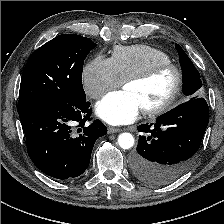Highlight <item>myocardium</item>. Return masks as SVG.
Wrapping results in <instances>:
<instances>
[{"instance_id": "1", "label": "myocardium", "mask_w": 224, "mask_h": 224, "mask_svg": "<svg viewBox=\"0 0 224 224\" xmlns=\"http://www.w3.org/2000/svg\"><path fill=\"white\" fill-rule=\"evenodd\" d=\"M168 70L173 72L174 78H175L174 86H173L171 93L160 104L153 106V107L142 109L143 114L148 115V116L162 114V113L166 112L167 110H169L174 105V103L177 101V99L182 91L183 80H184L183 71L181 70V68L179 66H177L174 63H171V62L159 63V64H154V65L150 66L149 68H147L146 70H144L140 73H137V74H134V75L128 77L124 81V86L129 83L145 82V81L152 79L159 73L168 71Z\"/></svg>"}]
</instances>
